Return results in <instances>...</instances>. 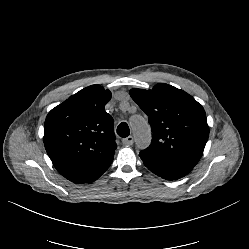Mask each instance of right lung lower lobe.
Returning <instances> with one entry per match:
<instances>
[{"mask_svg":"<svg viewBox=\"0 0 249 249\" xmlns=\"http://www.w3.org/2000/svg\"><path fill=\"white\" fill-rule=\"evenodd\" d=\"M109 168V167H108ZM108 168H106L102 173H100L98 176H96L95 178L91 179L88 183H91L93 181H95L96 179H98Z\"/></svg>","mask_w":249,"mask_h":249,"instance_id":"right-lung-lower-lobe-1","label":"right lung lower lobe"}]
</instances>
